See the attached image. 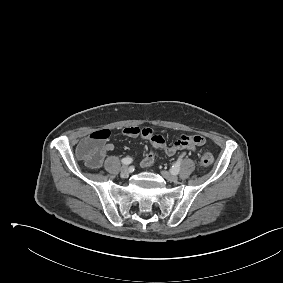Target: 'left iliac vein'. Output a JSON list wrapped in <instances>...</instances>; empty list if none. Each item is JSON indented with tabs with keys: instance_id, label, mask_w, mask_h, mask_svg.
<instances>
[{
	"instance_id": "obj_1",
	"label": "left iliac vein",
	"mask_w": 283,
	"mask_h": 283,
	"mask_svg": "<svg viewBox=\"0 0 283 283\" xmlns=\"http://www.w3.org/2000/svg\"><path fill=\"white\" fill-rule=\"evenodd\" d=\"M162 176L168 180L169 182H176L178 180V176L175 174H172L168 171H161Z\"/></svg>"
}]
</instances>
